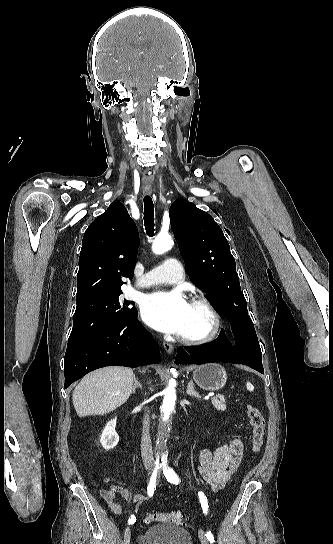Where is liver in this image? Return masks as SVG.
Masks as SVG:
<instances>
[{"label": "liver", "mask_w": 333, "mask_h": 544, "mask_svg": "<svg viewBox=\"0 0 333 544\" xmlns=\"http://www.w3.org/2000/svg\"><path fill=\"white\" fill-rule=\"evenodd\" d=\"M134 374L126 367H105L87 374L73 391L79 417L107 414L124 404L132 391Z\"/></svg>", "instance_id": "liver-1"}]
</instances>
